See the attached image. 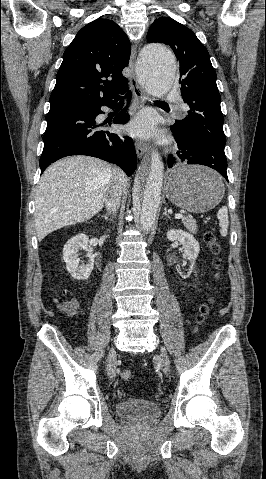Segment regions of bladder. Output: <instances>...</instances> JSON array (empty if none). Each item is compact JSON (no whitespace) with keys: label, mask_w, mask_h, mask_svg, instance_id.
<instances>
[{"label":"bladder","mask_w":266,"mask_h":479,"mask_svg":"<svg viewBox=\"0 0 266 479\" xmlns=\"http://www.w3.org/2000/svg\"><path fill=\"white\" fill-rule=\"evenodd\" d=\"M117 413L132 420L151 421L156 419L160 413V407L152 402L140 400H123L116 405Z\"/></svg>","instance_id":"1"}]
</instances>
